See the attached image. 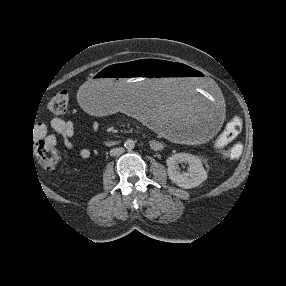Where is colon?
<instances>
[{
  "instance_id": "1",
  "label": "colon",
  "mask_w": 286,
  "mask_h": 286,
  "mask_svg": "<svg viewBox=\"0 0 286 286\" xmlns=\"http://www.w3.org/2000/svg\"><path fill=\"white\" fill-rule=\"evenodd\" d=\"M48 110L54 115H65L69 108V96L66 92H59L51 98L47 104ZM242 129V120L234 116L225 126L216 141V148L223 149L237 138ZM34 152L39 164L45 170H52L58 161V152L44 140H38L34 146Z\"/></svg>"
}]
</instances>
